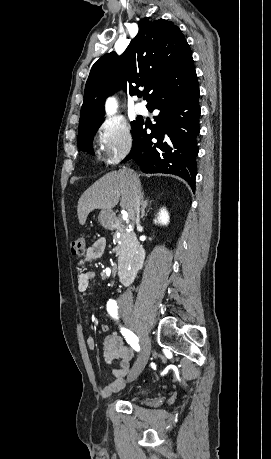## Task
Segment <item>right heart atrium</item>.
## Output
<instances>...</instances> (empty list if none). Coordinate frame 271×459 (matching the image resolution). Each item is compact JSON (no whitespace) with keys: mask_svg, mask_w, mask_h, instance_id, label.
Masks as SVG:
<instances>
[{"mask_svg":"<svg viewBox=\"0 0 271 459\" xmlns=\"http://www.w3.org/2000/svg\"><path fill=\"white\" fill-rule=\"evenodd\" d=\"M98 158L106 165H114L129 153L132 146L130 127L119 120H105L94 133Z\"/></svg>","mask_w":271,"mask_h":459,"instance_id":"obj_1","label":"right heart atrium"}]
</instances>
